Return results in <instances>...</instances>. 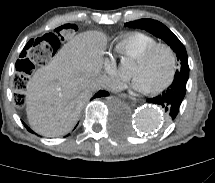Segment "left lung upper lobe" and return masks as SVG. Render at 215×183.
<instances>
[{"mask_svg": "<svg viewBox=\"0 0 215 183\" xmlns=\"http://www.w3.org/2000/svg\"><path fill=\"white\" fill-rule=\"evenodd\" d=\"M128 27L144 29L164 40L176 53L180 61V69L176 71L175 77H189L188 57L184 45L180 40L162 23L152 19H140L125 24Z\"/></svg>", "mask_w": 215, "mask_h": 183, "instance_id": "obj_1", "label": "left lung upper lobe"}]
</instances>
